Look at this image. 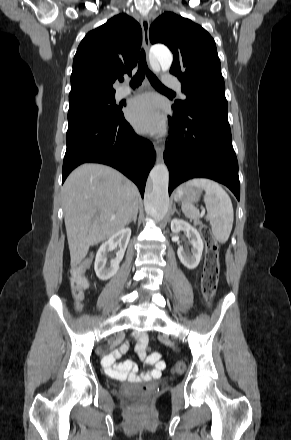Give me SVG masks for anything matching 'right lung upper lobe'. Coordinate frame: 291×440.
<instances>
[{"mask_svg":"<svg viewBox=\"0 0 291 440\" xmlns=\"http://www.w3.org/2000/svg\"><path fill=\"white\" fill-rule=\"evenodd\" d=\"M142 41L140 25L119 14L90 31L73 60L69 101L86 96L115 95L113 83L131 75Z\"/></svg>","mask_w":291,"mask_h":440,"instance_id":"1","label":"right lung upper lobe"}]
</instances>
